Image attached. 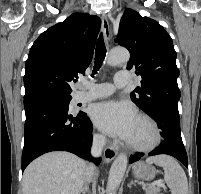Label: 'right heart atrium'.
Segmentation results:
<instances>
[{
    "label": "right heart atrium",
    "mask_w": 201,
    "mask_h": 194,
    "mask_svg": "<svg viewBox=\"0 0 201 194\" xmlns=\"http://www.w3.org/2000/svg\"><path fill=\"white\" fill-rule=\"evenodd\" d=\"M94 139H95L96 144L99 146H102L105 143V138L101 134H98V133L95 134Z\"/></svg>",
    "instance_id": "d8ad5b80"
}]
</instances>
